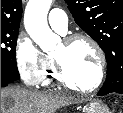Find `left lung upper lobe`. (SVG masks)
<instances>
[{
  "instance_id": "5c2ea615",
  "label": "left lung upper lobe",
  "mask_w": 123,
  "mask_h": 113,
  "mask_svg": "<svg viewBox=\"0 0 123 113\" xmlns=\"http://www.w3.org/2000/svg\"><path fill=\"white\" fill-rule=\"evenodd\" d=\"M75 22L105 52L102 89L123 90V0H65Z\"/></svg>"
}]
</instances>
